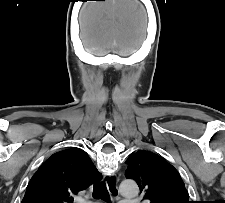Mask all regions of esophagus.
Instances as JSON below:
<instances>
[{"label":"esophagus","mask_w":225,"mask_h":203,"mask_svg":"<svg viewBox=\"0 0 225 203\" xmlns=\"http://www.w3.org/2000/svg\"><path fill=\"white\" fill-rule=\"evenodd\" d=\"M105 182H106V185H107L108 189L110 190L111 194L114 196H118L119 195V191H118L119 179H118V177L115 174L109 175L105 179Z\"/></svg>","instance_id":"obj_1"}]
</instances>
